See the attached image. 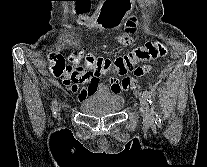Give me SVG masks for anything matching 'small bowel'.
<instances>
[{"mask_svg": "<svg viewBox=\"0 0 207 167\" xmlns=\"http://www.w3.org/2000/svg\"><path fill=\"white\" fill-rule=\"evenodd\" d=\"M132 0H105L101 10H98V14H101L98 23L103 27H110L116 24H123V17H126L127 11L131 9ZM93 1H74L75 9H79V14H90L91 5ZM78 24H85V20H78ZM129 34L126 36L118 37V42L121 45H129L133 42L134 34H136V26H139V22H136L135 18H129L126 23ZM112 50V48H107ZM115 70L120 73L118 68ZM66 79L64 80L70 90L74 93H78V99L83 101L88 96H91L103 89V83L97 78L90 77L82 74L81 71L76 70L71 72L65 71ZM90 81V85L87 88L79 89V84L85 81ZM110 92L114 95H118L123 91L132 89L135 86V81L131 78H124L119 80L117 77H112L109 80Z\"/></svg>", "mask_w": 207, "mask_h": 167, "instance_id": "obj_1", "label": "small bowel"}]
</instances>
